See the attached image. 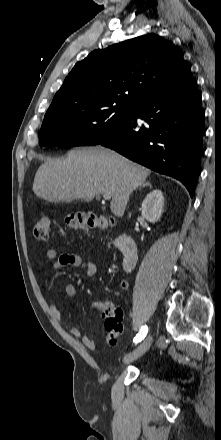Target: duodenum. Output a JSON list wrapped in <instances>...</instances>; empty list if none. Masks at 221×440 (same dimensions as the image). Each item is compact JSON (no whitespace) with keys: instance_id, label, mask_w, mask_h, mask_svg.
Here are the masks:
<instances>
[{"instance_id":"410a0bca","label":"duodenum","mask_w":221,"mask_h":440,"mask_svg":"<svg viewBox=\"0 0 221 440\" xmlns=\"http://www.w3.org/2000/svg\"><path fill=\"white\" fill-rule=\"evenodd\" d=\"M116 245L123 255V270L129 272L135 266L138 259L136 243L130 235L119 234L116 237Z\"/></svg>"}]
</instances>
